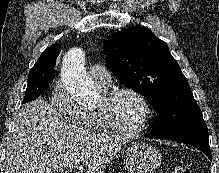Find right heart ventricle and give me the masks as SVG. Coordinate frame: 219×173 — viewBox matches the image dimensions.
<instances>
[{"label": "right heart ventricle", "mask_w": 219, "mask_h": 173, "mask_svg": "<svg viewBox=\"0 0 219 173\" xmlns=\"http://www.w3.org/2000/svg\"><path fill=\"white\" fill-rule=\"evenodd\" d=\"M98 88L105 92L108 89V86L97 85ZM81 125L89 130L96 132H108L104 124L102 123L97 109H84L82 110V122Z\"/></svg>", "instance_id": "e07e8e85"}]
</instances>
